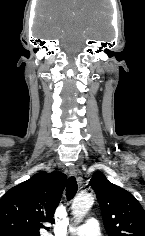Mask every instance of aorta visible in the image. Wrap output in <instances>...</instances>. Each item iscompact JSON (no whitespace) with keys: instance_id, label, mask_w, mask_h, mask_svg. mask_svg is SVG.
I'll list each match as a JSON object with an SVG mask.
<instances>
[{"instance_id":"obj_1","label":"aorta","mask_w":145,"mask_h":236,"mask_svg":"<svg viewBox=\"0 0 145 236\" xmlns=\"http://www.w3.org/2000/svg\"><path fill=\"white\" fill-rule=\"evenodd\" d=\"M94 203V197L91 194L77 196L72 204V214L76 221H80L89 211Z\"/></svg>"}]
</instances>
